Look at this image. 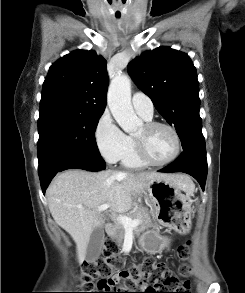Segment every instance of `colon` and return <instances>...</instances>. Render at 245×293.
Listing matches in <instances>:
<instances>
[{"label":"colon","mask_w":245,"mask_h":293,"mask_svg":"<svg viewBox=\"0 0 245 293\" xmlns=\"http://www.w3.org/2000/svg\"><path fill=\"white\" fill-rule=\"evenodd\" d=\"M189 225V217L186 216L176 224L175 229L186 232ZM177 255L181 261L179 272L187 278L191 273L188 264L191 255L189 245L180 246ZM96 280L98 282L94 286ZM79 281L84 291H87L82 293H192L185 286L186 282L180 284L164 263L154 259H145L124 269L116 243L110 237L103 240L102 255L84 264ZM159 288L162 289L161 292H157ZM94 289L101 292H90ZM122 289L143 292H118Z\"/></svg>","instance_id":"obj_1"}]
</instances>
